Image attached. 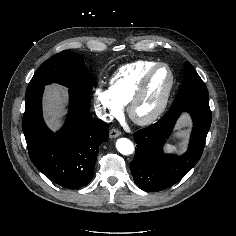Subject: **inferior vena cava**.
<instances>
[{
  "mask_svg": "<svg viewBox=\"0 0 236 236\" xmlns=\"http://www.w3.org/2000/svg\"><path fill=\"white\" fill-rule=\"evenodd\" d=\"M95 113L98 118L102 119L103 121H108L110 120L111 116L107 113H104L101 109V107L95 108Z\"/></svg>",
  "mask_w": 236,
  "mask_h": 236,
  "instance_id": "obj_1",
  "label": "inferior vena cava"
}]
</instances>
